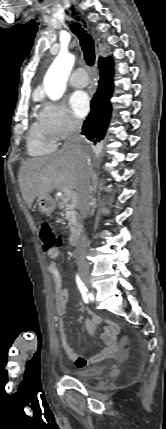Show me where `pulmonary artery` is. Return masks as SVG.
<instances>
[{
    "label": "pulmonary artery",
    "mask_w": 166,
    "mask_h": 429,
    "mask_svg": "<svg viewBox=\"0 0 166 429\" xmlns=\"http://www.w3.org/2000/svg\"><path fill=\"white\" fill-rule=\"evenodd\" d=\"M70 84L76 88L85 87L88 84V76L83 68L76 69L70 77Z\"/></svg>",
    "instance_id": "obj_1"
}]
</instances>
